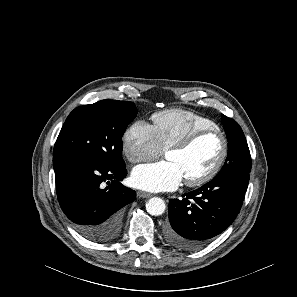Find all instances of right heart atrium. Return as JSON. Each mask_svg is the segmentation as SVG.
<instances>
[{
    "label": "right heart atrium",
    "mask_w": 297,
    "mask_h": 297,
    "mask_svg": "<svg viewBox=\"0 0 297 297\" xmlns=\"http://www.w3.org/2000/svg\"><path fill=\"white\" fill-rule=\"evenodd\" d=\"M122 149L126 158L134 164L151 160L163 152L154 126L143 120L134 122L126 129Z\"/></svg>",
    "instance_id": "d8ad5b80"
}]
</instances>
